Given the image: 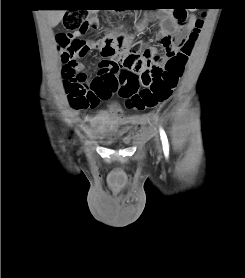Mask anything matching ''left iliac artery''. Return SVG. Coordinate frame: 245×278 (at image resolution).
Here are the masks:
<instances>
[{
  "mask_svg": "<svg viewBox=\"0 0 245 278\" xmlns=\"http://www.w3.org/2000/svg\"><path fill=\"white\" fill-rule=\"evenodd\" d=\"M160 138L162 141V146H163V151H164L165 157L167 158L168 154H169V144H168L167 136L162 128H160Z\"/></svg>",
  "mask_w": 245,
  "mask_h": 278,
  "instance_id": "left-iliac-artery-1",
  "label": "left iliac artery"
}]
</instances>
